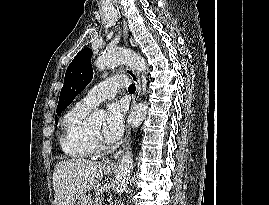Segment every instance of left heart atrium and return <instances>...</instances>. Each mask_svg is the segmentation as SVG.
I'll return each instance as SVG.
<instances>
[{
	"label": "left heart atrium",
	"mask_w": 269,
	"mask_h": 205,
	"mask_svg": "<svg viewBox=\"0 0 269 205\" xmlns=\"http://www.w3.org/2000/svg\"><path fill=\"white\" fill-rule=\"evenodd\" d=\"M126 105L123 102H112L107 107L106 122L102 129V138L108 144L117 142L124 130Z\"/></svg>",
	"instance_id": "obj_1"
}]
</instances>
